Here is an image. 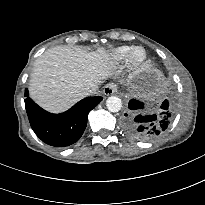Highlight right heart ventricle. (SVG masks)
Listing matches in <instances>:
<instances>
[{
	"mask_svg": "<svg viewBox=\"0 0 205 205\" xmlns=\"http://www.w3.org/2000/svg\"><path fill=\"white\" fill-rule=\"evenodd\" d=\"M130 50L131 47L125 45L114 47L104 54V59L109 62H118L127 57Z\"/></svg>",
	"mask_w": 205,
	"mask_h": 205,
	"instance_id": "right-heart-ventricle-1",
	"label": "right heart ventricle"
}]
</instances>
